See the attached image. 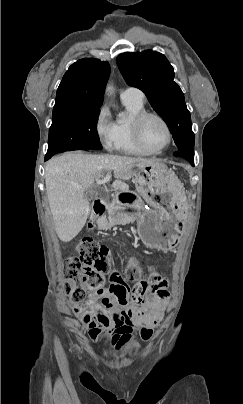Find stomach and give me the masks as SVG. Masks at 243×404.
<instances>
[{"instance_id": "1", "label": "stomach", "mask_w": 243, "mask_h": 404, "mask_svg": "<svg viewBox=\"0 0 243 404\" xmlns=\"http://www.w3.org/2000/svg\"><path fill=\"white\" fill-rule=\"evenodd\" d=\"M134 180L137 192L151 207L136 201L138 234L144 244L162 251L171 250L183 230L187 201L179 179L159 161L138 169Z\"/></svg>"}]
</instances>
